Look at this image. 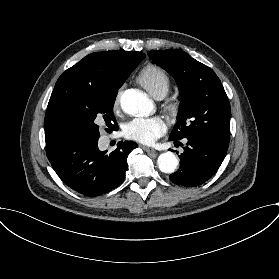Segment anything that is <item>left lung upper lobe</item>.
<instances>
[{
  "label": "left lung upper lobe",
  "mask_w": 279,
  "mask_h": 279,
  "mask_svg": "<svg viewBox=\"0 0 279 279\" xmlns=\"http://www.w3.org/2000/svg\"><path fill=\"white\" fill-rule=\"evenodd\" d=\"M148 55L174 77L182 96L171 137L209 134L230 139V104L214 71L179 49L153 50Z\"/></svg>",
  "instance_id": "obj_1"
}]
</instances>
